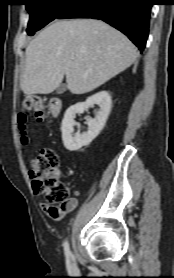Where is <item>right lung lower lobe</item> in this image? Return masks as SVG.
<instances>
[{"mask_svg":"<svg viewBox=\"0 0 174 278\" xmlns=\"http://www.w3.org/2000/svg\"><path fill=\"white\" fill-rule=\"evenodd\" d=\"M152 0H77L57 18L101 19L123 32L143 51Z\"/></svg>","mask_w":174,"mask_h":278,"instance_id":"right-lung-lower-lobe-1","label":"right lung lower lobe"}]
</instances>
